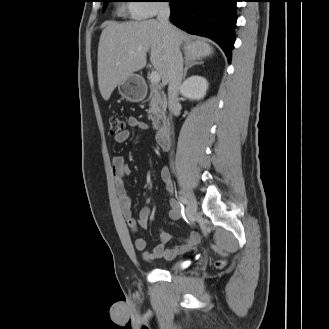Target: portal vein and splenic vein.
I'll return each mask as SVG.
<instances>
[{
    "instance_id": "18ae733b",
    "label": "portal vein and splenic vein",
    "mask_w": 329,
    "mask_h": 329,
    "mask_svg": "<svg viewBox=\"0 0 329 329\" xmlns=\"http://www.w3.org/2000/svg\"><path fill=\"white\" fill-rule=\"evenodd\" d=\"M150 78L152 84H158L160 82V74L157 71H152Z\"/></svg>"
}]
</instances>
